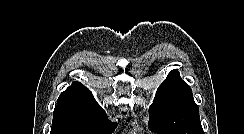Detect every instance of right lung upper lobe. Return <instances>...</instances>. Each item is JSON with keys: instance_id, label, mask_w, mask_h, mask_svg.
<instances>
[{"instance_id": "right-lung-upper-lobe-1", "label": "right lung upper lobe", "mask_w": 244, "mask_h": 134, "mask_svg": "<svg viewBox=\"0 0 244 134\" xmlns=\"http://www.w3.org/2000/svg\"><path fill=\"white\" fill-rule=\"evenodd\" d=\"M53 117L98 119L107 118V115L84 85L73 82L59 96Z\"/></svg>"}]
</instances>
